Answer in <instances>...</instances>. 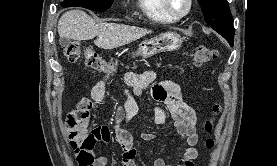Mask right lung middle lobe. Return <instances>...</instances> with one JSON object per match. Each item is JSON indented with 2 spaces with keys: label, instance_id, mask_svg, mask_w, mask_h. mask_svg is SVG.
Here are the masks:
<instances>
[{
  "label": "right lung middle lobe",
  "instance_id": "obj_1",
  "mask_svg": "<svg viewBox=\"0 0 277 166\" xmlns=\"http://www.w3.org/2000/svg\"><path fill=\"white\" fill-rule=\"evenodd\" d=\"M113 0H64L62 7H83L93 11H105L111 7Z\"/></svg>",
  "mask_w": 277,
  "mask_h": 166
}]
</instances>
